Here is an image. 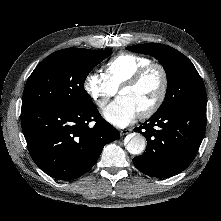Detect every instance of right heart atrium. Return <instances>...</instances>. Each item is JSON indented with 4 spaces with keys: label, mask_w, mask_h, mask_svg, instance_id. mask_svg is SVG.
I'll list each match as a JSON object with an SVG mask.
<instances>
[{
    "label": "right heart atrium",
    "mask_w": 221,
    "mask_h": 221,
    "mask_svg": "<svg viewBox=\"0 0 221 221\" xmlns=\"http://www.w3.org/2000/svg\"><path fill=\"white\" fill-rule=\"evenodd\" d=\"M83 89L99 108H104L117 92L105 74L99 71H91L86 74L83 80Z\"/></svg>",
    "instance_id": "d8ad5b80"
}]
</instances>
